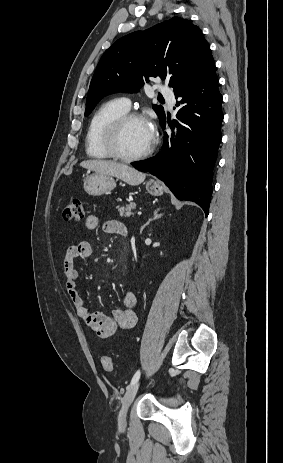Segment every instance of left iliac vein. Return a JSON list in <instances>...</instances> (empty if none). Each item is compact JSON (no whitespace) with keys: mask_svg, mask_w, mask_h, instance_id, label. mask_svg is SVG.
Segmentation results:
<instances>
[{"mask_svg":"<svg viewBox=\"0 0 283 463\" xmlns=\"http://www.w3.org/2000/svg\"><path fill=\"white\" fill-rule=\"evenodd\" d=\"M139 388V382L137 381L133 385H130L129 388L127 389L123 400H122V407L119 412V426L124 427L126 425V414L129 406L133 402L135 395L138 391Z\"/></svg>","mask_w":283,"mask_h":463,"instance_id":"4c4485c4","label":"left iliac vein"}]
</instances>
